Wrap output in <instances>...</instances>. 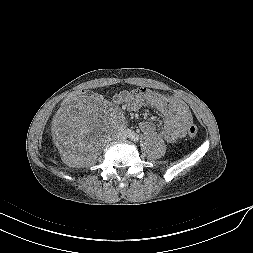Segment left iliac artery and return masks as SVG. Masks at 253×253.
Instances as JSON below:
<instances>
[{
    "instance_id": "44dca946",
    "label": "left iliac artery",
    "mask_w": 253,
    "mask_h": 253,
    "mask_svg": "<svg viewBox=\"0 0 253 253\" xmlns=\"http://www.w3.org/2000/svg\"><path fill=\"white\" fill-rule=\"evenodd\" d=\"M134 142H138L139 141V135L138 134H136V133H134V132H132L131 134H130V136H129Z\"/></svg>"
}]
</instances>
